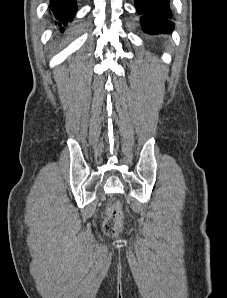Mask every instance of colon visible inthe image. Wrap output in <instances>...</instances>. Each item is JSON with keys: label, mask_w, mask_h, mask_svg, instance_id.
<instances>
[{"label": "colon", "mask_w": 227, "mask_h": 298, "mask_svg": "<svg viewBox=\"0 0 227 298\" xmlns=\"http://www.w3.org/2000/svg\"><path fill=\"white\" fill-rule=\"evenodd\" d=\"M122 215L118 209L109 211L103 225V231L107 237L113 238L121 231Z\"/></svg>", "instance_id": "1"}]
</instances>
